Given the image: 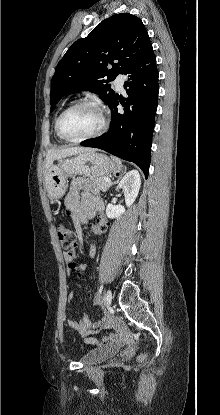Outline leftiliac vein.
<instances>
[{"label": "left iliac vein", "mask_w": 220, "mask_h": 415, "mask_svg": "<svg viewBox=\"0 0 220 415\" xmlns=\"http://www.w3.org/2000/svg\"><path fill=\"white\" fill-rule=\"evenodd\" d=\"M112 292H111V290H107V292H106V294H105V298H104V301H105V305L106 306H110L111 305V302H112Z\"/></svg>", "instance_id": "1"}]
</instances>
